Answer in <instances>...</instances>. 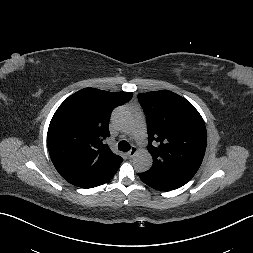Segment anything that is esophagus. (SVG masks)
<instances>
[{
  "label": "esophagus",
  "instance_id": "esophagus-1",
  "mask_svg": "<svg viewBox=\"0 0 253 253\" xmlns=\"http://www.w3.org/2000/svg\"><path fill=\"white\" fill-rule=\"evenodd\" d=\"M137 153V148L133 146L131 150L127 153L129 157H133Z\"/></svg>",
  "mask_w": 253,
  "mask_h": 253
}]
</instances>
